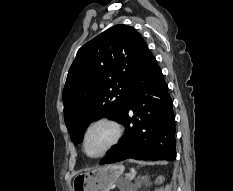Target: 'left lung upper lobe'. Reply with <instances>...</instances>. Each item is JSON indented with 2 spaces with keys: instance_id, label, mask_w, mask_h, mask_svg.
Returning <instances> with one entry per match:
<instances>
[{
  "instance_id": "left-lung-upper-lobe-1",
  "label": "left lung upper lobe",
  "mask_w": 233,
  "mask_h": 191,
  "mask_svg": "<svg viewBox=\"0 0 233 191\" xmlns=\"http://www.w3.org/2000/svg\"><path fill=\"white\" fill-rule=\"evenodd\" d=\"M150 53L142 36L127 25H115L79 49L62 95L75 145L92 121L107 117L120 122L133 79Z\"/></svg>"
}]
</instances>
